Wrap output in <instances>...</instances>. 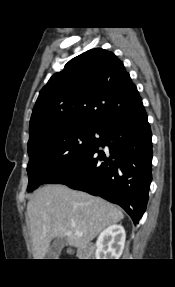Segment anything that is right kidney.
Masks as SVG:
<instances>
[{
    "mask_svg": "<svg viewBox=\"0 0 175 287\" xmlns=\"http://www.w3.org/2000/svg\"><path fill=\"white\" fill-rule=\"evenodd\" d=\"M125 239V230L121 225L114 224L103 230L96 242V259H119Z\"/></svg>",
    "mask_w": 175,
    "mask_h": 287,
    "instance_id": "1",
    "label": "right kidney"
}]
</instances>
